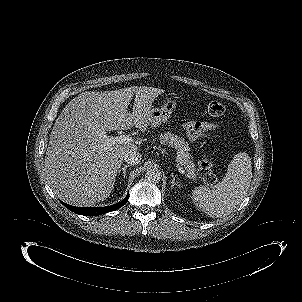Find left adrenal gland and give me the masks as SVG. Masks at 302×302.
I'll list each match as a JSON object with an SVG mask.
<instances>
[{
	"instance_id": "1",
	"label": "left adrenal gland",
	"mask_w": 302,
	"mask_h": 302,
	"mask_svg": "<svg viewBox=\"0 0 302 302\" xmlns=\"http://www.w3.org/2000/svg\"><path fill=\"white\" fill-rule=\"evenodd\" d=\"M171 176H172L171 187L174 188V186H175V185H178V184H177L176 181H175L174 173H172Z\"/></svg>"
}]
</instances>
